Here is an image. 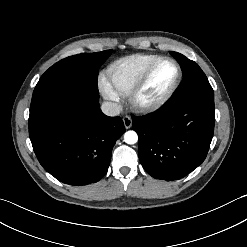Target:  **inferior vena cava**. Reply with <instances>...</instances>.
<instances>
[{"label": "inferior vena cava", "instance_id": "obj_1", "mask_svg": "<svg viewBox=\"0 0 247 247\" xmlns=\"http://www.w3.org/2000/svg\"><path fill=\"white\" fill-rule=\"evenodd\" d=\"M101 110L107 116H118L122 108L117 103L106 101L102 103Z\"/></svg>", "mask_w": 247, "mask_h": 247}]
</instances>
